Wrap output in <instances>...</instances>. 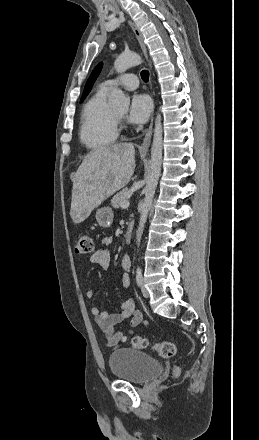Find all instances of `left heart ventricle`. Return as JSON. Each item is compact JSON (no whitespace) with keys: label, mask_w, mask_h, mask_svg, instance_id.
Here are the masks:
<instances>
[{"label":"left heart ventricle","mask_w":259,"mask_h":440,"mask_svg":"<svg viewBox=\"0 0 259 440\" xmlns=\"http://www.w3.org/2000/svg\"><path fill=\"white\" fill-rule=\"evenodd\" d=\"M117 115L123 116L124 115V111L117 112Z\"/></svg>","instance_id":"b2bd125f"}]
</instances>
